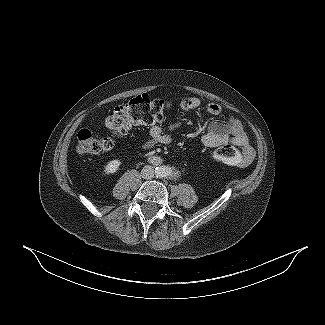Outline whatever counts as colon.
Returning <instances> with one entry per match:
<instances>
[{
    "mask_svg": "<svg viewBox=\"0 0 325 325\" xmlns=\"http://www.w3.org/2000/svg\"><path fill=\"white\" fill-rule=\"evenodd\" d=\"M169 109V103L161 99L152 98L147 94L138 95L116 106L108 115L104 127L109 135H99L89 127L81 129L77 134V152L86 156L109 150L114 139L126 134L132 127L161 123ZM212 157L216 162L223 164L243 165L242 154L231 145L216 148Z\"/></svg>",
    "mask_w": 325,
    "mask_h": 325,
    "instance_id": "1",
    "label": "colon"
}]
</instances>
